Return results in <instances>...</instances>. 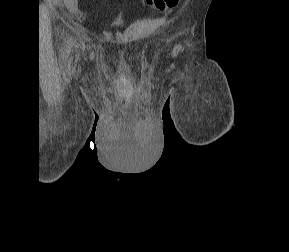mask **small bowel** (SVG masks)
Listing matches in <instances>:
<instances>
[{"label": "small bowel", "instance_id": "obj_1", "mask_svg": "<svg viewBox=\"0 0 289 252\" xmlns=\"http://www.w3.org/2000/svg\"><path fill=\"white\" fill-rule=\"evenodd\" d=\"M65 7L72 13L79 11V0H63Z\"/></svg>", "mask_w": 289, "mask_h": 252}]
</instances>
